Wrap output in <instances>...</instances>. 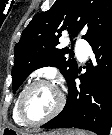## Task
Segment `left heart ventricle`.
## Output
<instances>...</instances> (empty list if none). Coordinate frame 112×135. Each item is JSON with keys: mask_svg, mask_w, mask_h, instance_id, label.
I'll return each instance as SVG.
<instances>
[{"mask_svg": "<svg viewBox=\"0 0 112 135\" xmlns=\"http://www.w3.org/2000/svg\"><path fill=\"white\" fill-rule=\"evenodd\" d=\"M59 102L57 90L50 85L34 87L26 98V110L34 118H40L51 113Z\"/></svg>", "mask_w": 112, "mask_h": 135, "instance_id": "left-heart-ventricle-1", "label": "left heart ventricle"}]
</instances>
